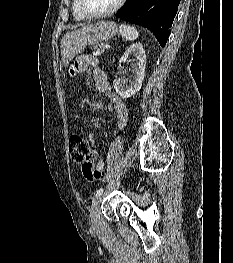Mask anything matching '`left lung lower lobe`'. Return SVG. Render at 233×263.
<instances>
[{
  "label": "left lung lower lobe",
  "mask_w": 233,
  "mask_h": 263,
  "mask_svg": "<svg viewBox=\"0 0 233 263\" xmlns=\"http://www.w3.org/2000/svg\"><path fill=\"white\" fill-rule=\"evenodd\" d=\"M180 0H127L116 17L146 27L165 46Z\"/></svg>",
  "instance_id": "0a47b994"
}]
</instances>
